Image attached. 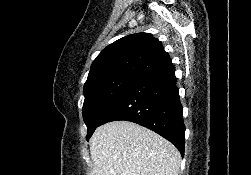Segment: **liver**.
<instances>
[{
  "instance_id": "obj_1",
  "label": "liver",
  "mask_w": 251,
  "mask_h": 175,
  "mask_svg": "<svg viewBox=\"0 0 251 175\" xmlns=\"http://www.w3.org/2000/svg\"><path fill=\"white\" fill-rule=\"evenodd\" d=\"M92 175H178L181 153L170 141L132 121H110L90 141Z\"/></svg>"
}]
</instances>
